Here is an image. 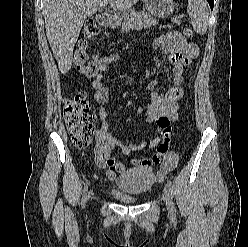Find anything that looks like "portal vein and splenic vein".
I'll return each mask as SVG.
<instances>
[{
	"instance_id": "1",
	"label": "portal vein and splenic vein",
	"mask_w": 248,
	"mask_h": 247,
	"mask_svg": "<svg viewBox=\"0 0 248 247\" xmlns=\"http://www.w3.org/2000/svg\"><path fill=\"white\" fill-rule=\"evenodd\" d=\"M104 4H105V5H107V4H108V2H107V1H105V2H104Z\"/></svg>"
}]
</instances>
